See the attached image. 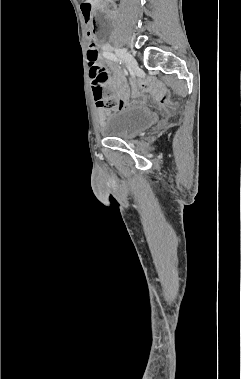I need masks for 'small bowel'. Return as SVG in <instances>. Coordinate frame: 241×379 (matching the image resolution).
<instances>
[{
    "label": "small bowel",
    "mask_w": 241,
    "mask_h": 379,
    "mask_svg": "<svg viewBox=\"0 0 241 379\" xmlns=\"http://www.w3.org/2000/svg\"><path fill=\"white\" fill-rule=\"evenodd\" d=\"M106 73V80L104 85L107 84L110 90L114 91L115 96L121 103V108H126L129 106V88L124 83L123 78L118 71L117 68L112 67L111 69V77H108ZM93 89V82H92ZM148 91L151 95L150 102L152 103H160L165 108H172L173 104L167 97L166 90L164 87L155 81H140L138 84H134L131 90V94L134 98H138L141 94V91ZM101 120H104L106 116L104 114H100Z\"/></svg>",
    "instance_id": "1"
}]
</instances>
